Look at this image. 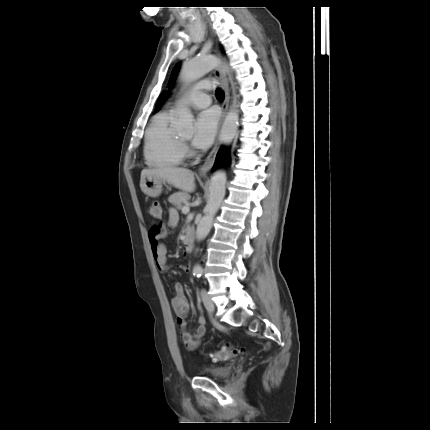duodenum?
<instances>
[{
  "label": "duodenum",
  "mask_w": 430,
  "mask_h": 430,
  "mask_svg": "<svg viewBox=\"0 0 430 430\" xmlns=\"http://www.w3.org/2000/svg\"><path fill=\"white\" fill-rule=\"evenodd\" d=\"M183 248L185 252H191L193 249V236L189 232L185 235Z\"/></svg>",
  "instance_id": "1"
}]
</instances>
